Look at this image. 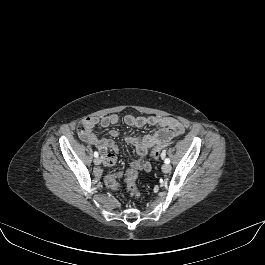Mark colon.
I'll return each instance as SVG.
<instances>
[{"label": "colon", "mask_w": 265, "mask_h": 265, "mask_svg": "<svg viewBox=\"0 0 265 265\" xmlns=\"http://www.w3.org/2000/svg\"><path fill=\"white\" fill-rule=\"evenodd\" d=\"M90 131H91V128L88 125L86 120L81 121L79 123L78 132L81 136L89 134ZM167 146H168V142L161 144V145H158V146H155V148L151 152V156L154 159H158V158L164 156ZM122 175H123L122 173L108 175L105 178V183H106L107 187L113 191H117L120 188V184L118 182V179ZM124 175L126 177L127 188L129 189V191L133 195L138 196L139 191H138V188L136 186V181H137V177H138L137 170L128 169L125 171Z\"/></svg>", "instance_id": "colon-1"}]
</instances>
